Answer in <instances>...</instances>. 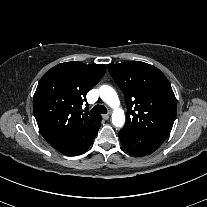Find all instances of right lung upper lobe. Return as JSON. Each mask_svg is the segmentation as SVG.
Returning a JSON list of instances; mask_svg holds the SVG:
<instances>
[{
  "instance_id": "cb5924a9",
  "label": "right lung upper lobe",
  "mask_w": 207,
  "mask_h": 207,
  "mask_svg": "<svg viewBox=\"0 0 207 207\" xmlns=\"http://www.w3.org/2000/svg\"><path fill=\"white\" fill-rule=\"evenodd\" d=\"M105 71L104 64L65 62L41 78L34 94L33 109L43 137L52 146L63 144L77 131L101 119L99 114L83 113L81 105Z\"/></svg>"
}]
</instances>
